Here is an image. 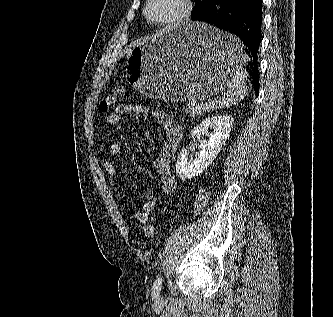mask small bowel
Here are the masks:
<instances>
[{"instance_id": "small-bowel-1", "label": "small bowel", "mask_w": 333, "mask_h": 317, "mask_svg": "<svg viewBox=\"0 0 333 317\" xmlns=\"http://www.w3.org/2000/svg\"><path fill=\"white\" fill-rule=\"evenodd\" d=\"M132 113H149L155 121L164 129L166 138L160 155L154 160L153 167L158 174L157 190L165 195L173 194L177 189V182L171 174V161L178 149L181 137V126L168 114L159 110H150L142 105L123 103L118 105L114 112L107 115L104 119V125L107 127L117 126L121 122L122 116ZM109 153L113 157H119L121 146L118 143H112L109 146ZM104 171L112 180H117V169L110 160L103 162ZM158 199L156 197L145 201L139 209L133 211L132 217L139 224H145L148 221L149 214L157 207Z\"/></svg>"}]
</instances>
